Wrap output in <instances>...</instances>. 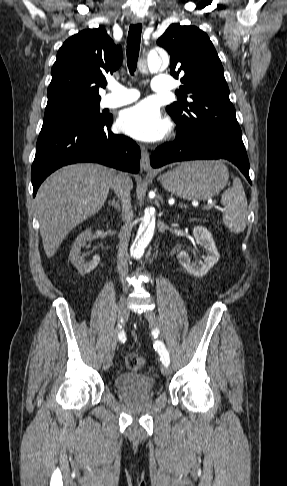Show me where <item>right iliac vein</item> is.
Masks as SVG:
<instances>
[{
    "instance_id": "1",
    "label": "right iliac vein",
    "mask_w": 287,
    "mask_h": 486,
    "mask_svg": "<svg viewBox=\"0 0 287 486\" xmlns=\"http://www.w3.org/2000/svg\"><path fill=\"white\" fill-rule=\"evenodd\" d=\"M128 315H129V310H128V307H127V301H126V298L123 296V297H121L120 304H119V324L121 326H122V323L127 320ZM120 330H121L120 327L116 328L114 335H113V338L111 339V342H110V344L107 348V351L105 353L103 366H104V369H106V370L109 369L111 364H112L114 351H115V347H116V342H117V335L119 334Z\"/></svg>"
}]
</instances>
